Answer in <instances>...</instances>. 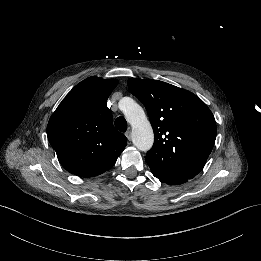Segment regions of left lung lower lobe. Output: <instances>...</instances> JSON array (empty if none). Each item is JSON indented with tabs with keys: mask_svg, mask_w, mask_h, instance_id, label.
<instances>
[{
	"mask_svg": "<svg viewBox=\"0 0 261 261\" xmlns=\"http://www.w3.org/2000/svg\"><path fill=\"white\" fill-rule=\"evenodd\" d=\"M151 171L156 178H158L163 183H167L168 185H178L188 181V179L172 176L155 168H151Z\"/></svg>",
	"mask_w": 261,
	"mask_h": 261,
	"instance_id": "0a47b994",
	"label": "left lung lower lobe"
}]
</instances>
